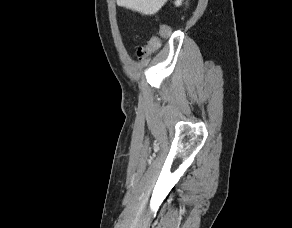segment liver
I'll return each instance as SVG.
<instances>
[{"label":"liver","mask_w":292,"mask_h":228,"mask_svg":"<svg viewBox=\"0 0 292 228\" xmlns=\"http://www.w3.org/2000/svg\"><path fill=\"white\" fill-rule=\"evenodd\" d=\"M117 5L140 12L144 15L157 13L167 0H116Z\"/></svg>","instance_id":"1"}]
</instances>
